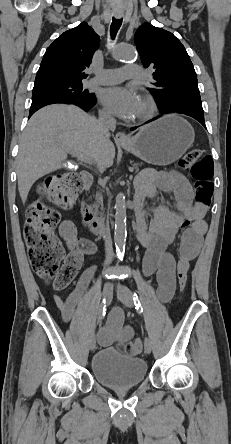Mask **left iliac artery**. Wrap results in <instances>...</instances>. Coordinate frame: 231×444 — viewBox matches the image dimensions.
I'll use <instances>...</instances> for the list:
<instances>
[{
  "mask_svg": "<svg viewBox=\"0 0 231 444\" xmlns=\"http://www.w3.org/2000/svg\"><path fill=\"white\" fill-rule=\"evenodd\" d=\"M133 301L134 305L136 306L137 311L142 314L143 313V307L141 305L140 299L138 298L137 294L134 292L133 294Z\"/></svg>",
  "mask_w": 231,
  "mask_h": 444,
  "instance_id": "obj_1",
  "label": "left iliac artery"
}]
</instances>
